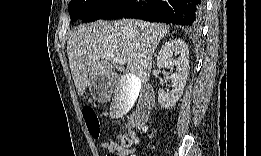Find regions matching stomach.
I'll list each match as a JSON object with an SVG mask.
<instances>
[{"instance_id": "stomach-1", "label": "stomach", "mask_w": 261, "mask_h": 156, "mask_svg": "<svg viewBox=\"0 0 261 156\" xmlns=\"http://www.w3.org/2000/svg\"><path fill=\"white\" fill-rule=\"evenodd\" d=\"M98 78H105V79H107L106 77H99V76H97V77H95V78H93V79H90V81H89V86L91 85V84H93ZM108 80V79H107Z\"/></svg>"}]
</instances>
